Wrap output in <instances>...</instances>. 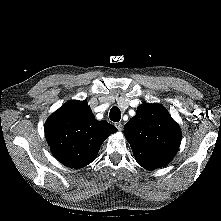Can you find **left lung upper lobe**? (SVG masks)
<instances>
[{
    "mask_svg": "<svg viewBox=\"0 0 221 221\" xmlns=\"http://www.w3.org/2000/svg\"><path fill=\"white\" fill-rule=\"evenodd\" d=\"M124 134L138 164L147 170L168 164L178 152L181 130L159 104H142Z\"/></svg>",
    "mask_w": 221,
    "mask_h": 221,
    "instance_id": "1",
    "label": "left lung upper lobe"
}]
</instances>
